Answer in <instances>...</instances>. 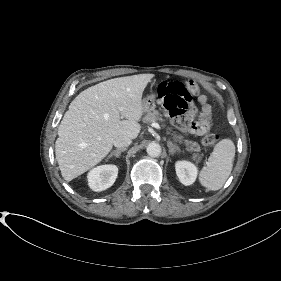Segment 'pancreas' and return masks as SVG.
Segmentation results:
<instances>
[{
  "instance_id": "1",
  "label": "pancreas",
  "mask_w": 281,
  "mask_h": 281,
  "mask_svg": "<svg viewBox=\"0 0 281 281\" xmlns=\"http://www.w3.org/2000/svg\"><path fill=\"white\" fill-rule=\"evenodd\" d=\"M144 123L150 124L153 122H164V119L162 118V114L160 112H158L157 110H153L150 111L146 114V116L143 118ZM163 126H165V124L163 123ZM167 131L168 133H170V131H172V129L170 127H167ZM173 138L176 142L182 143V136L181 135H177L176 132H173ZM185 145H186V150L189 152H194L193 153V159L197 162H199L201 160V154L199 153L201 151L200 146L197 142L191 141V140H185L184 141Z\"/></svg>"
}]
</instances>
